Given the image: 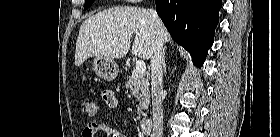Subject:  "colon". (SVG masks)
Instances as JSON below:
<instances>
[{
	"label": "colon",
	"instance_id": "1",
	"mask_svg": "<svg viewBox=\"0 0 280 137\" xmlns=\"http://www.w3.org/2000/svg\"><path fill=\"white\" fill-rule=\"evenodd\" d=\"M115 97L114 93L112 92H105L104 93V99L106 100H113ZM82 109L83 111L88 115V116H95L98 111H99V105L97 102L93 101V100H83L82 102ZM92 137H97L96 135H91Z\"/></svg>",
	"mask_w": 280,
	"mask_h": 137
}]
</instances>
